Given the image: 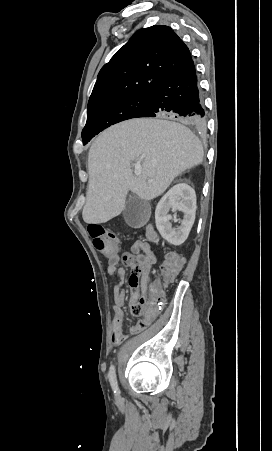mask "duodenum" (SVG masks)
<instances>
[{
  "label": "duodenum",
  "mask_w": 272,
  "mask_h": 451,
  "mask_svg": "<svg viewBox=\"0 0 272 451\" xmlns=\"http://www.w3.org/2000/svg\"><path fill=\"white\" fill-rule=\"evenodd\" d=\"M149 237H150L151 239H154V237H155L154 233H153L151 230L149 231Z\"/></svg>",
  "instance_id": "obj_1"
}]
</instances>
